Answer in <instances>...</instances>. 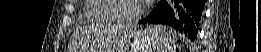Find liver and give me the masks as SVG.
Here are the masks:
<instances>
[{"label": "liver", "instance_id": "obj_1", "mask_svg": "<svg viewBox=\"0 0 261 52\" xmlns=\"http://www.w3.org/2000/svg\"><path fill=\"white\" fill-rule=\"evenodd\" d=\"M126 30H122L121 28H114V29H108L105 31L104 36H103V43L102 46L104 45V48L106 50H110L113 47H117L118 44L121 41V38H123L126 33L129 31L131 26H126ZM105 38V41H104Z\"/></svg>", "mask_w": 261, "mask_h": 52}]
</instances>
